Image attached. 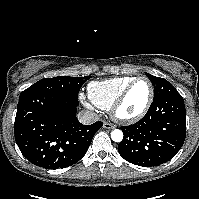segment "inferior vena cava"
Wrapping results in <instances>:
<instances>
[{"instance_id":"obj_1","label":"inferior vena cava","mask_w":199,"mask_h":199,"mask_svg":"<svg viewBox=\"0 0 199 199\" xmlns=\"http://www.w3.org/2000/svg\"><path fill=\"white\" fill-rule=\"evenodd\" d=\"M78 119L80 123L84 125H90L97 122L99 120V117L98 114H96L95 112L86 110V111H81L78 114Z\"/></svg>"}]
</instances>
